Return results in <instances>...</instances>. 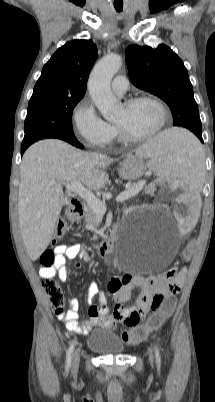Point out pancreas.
I'll return each instance as SVG.
<instances>
[{
    "label": "pancreas",
    "mask_w": 215,
    "mask_h": 402,
    "mask_svg": "<svg viewBox=\"0 0 215 402\" xmlns=\"http://www.w3.org/2000/svg\"><path fill=\"white\" fill-rule=\"evenodd\" d=\"M139 183H133L130 188L136 187ZM98 222V215L88 206L85 213V227L91 231H96L95 227ZM97 236H93L91 240H96Z\"/></svg>",
    "instance_id": "pancreas-1"
}]
</instances>
